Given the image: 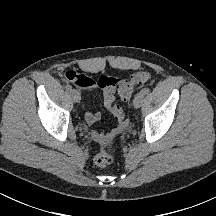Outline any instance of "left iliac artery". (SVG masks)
I'll return each instance as SVG.
<instances>
[{
    "label": "left iliac artery",
    "mask_w": 216,
    "mask_h": 216,
    "mask_svg": "<svg viewBox=\"0 0 216 216\" xmlns=\"http://www.w3.org/2000/svg\"><path fill=\"white\" fill-rule=\"evenodd\" d=\"M150 92V89L149 88H143L142 90H141V93L143 94V95H146V94H148Z\"/></svg>",
    "instance_id": "44dca946"
}]
</instances>
